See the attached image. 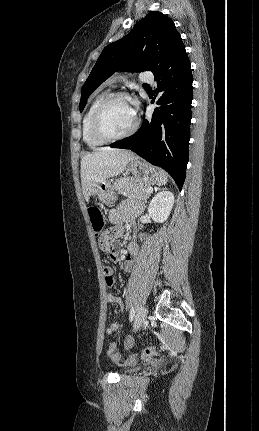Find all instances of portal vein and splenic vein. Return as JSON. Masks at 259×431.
<instances>
[{
  "instance_id": "portal-vein-and-splenic-vein-1",
  "label": "portal vein and splenic vein",
  "mask_w": 259,
  "mask_h": 431,
  "mask_svg": "<svg viewBox=\"0 0 259 431\" xmlns=\"http://www.w3.org/2000/svg\"><path fill=\"white\" fill-rule=\"evenodd\" d=\"M153 191V189L151 188V187H149L148 189H147V192L148 193H151Z\"/></svg>"
}]
</instances>
